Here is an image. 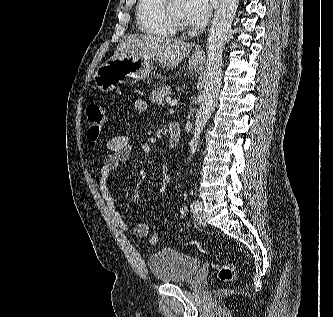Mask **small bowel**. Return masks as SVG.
<instances>
[{
    "label": "small bowel",
    "instance_id": "obj_1",
    "mask_svg": "<svg viewBox=\"0 0 333 317\" xmlns=\"http://www.w3.org/2000/svg\"><path fill=\"white\" fill-rule=\"evenodd\" d=\"M133 109L136 113H142L147 110V103L143 99L135 100ZM108 154L105 155L100 167L99 189L101 195L111 213L117 226L124 231H131L136 237H146L150 231L151 224L149 222L138 223L134 226L129 225L116 207L113 194L109 187V178L122 164L127 162L132 154V144L127 133L120 134L110 138L106 142ZM171 181V176L167 166L162 169V182L159 186L160 192H166Z\"/></svg>",
    "mask_w": 333,
    "mask_h": 317
}]
</instances>
